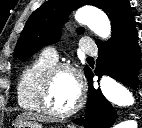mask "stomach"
Segmentation results:
<instances>
[{"label": "stomach", "mask_w": 142, "mask_h": 128, "mask_svg": "<svg viewBox=\"0 0 142 128\" xmlns=\"http://www.w3.org/2000/svg\"><path fill=\"white\" fill-rule=\"evenodd\" d=\"M14 128H42V125L35 120H23L17 122Z\"/></svg>", "instance_id": "0dacf381"}]
</instances>
